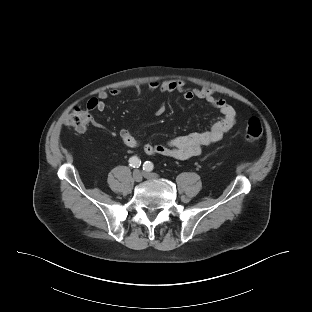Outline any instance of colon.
Listing matches in <instances>:
<instances>
[{
    "label": "colon",
    "instance_id": "obj_1",
    "mask_svg": "<svg viewBox=\"0 0 312 312\" xmlns=\"http://www.w3.org/2000/svg\"><path fill=\"white\" fill-rule=\"evenodd\" d=\"M89 123V114L82 107H74L65 120V124L77 131H83ZM262 134V123L259 118L252 117L248 120L244 137L247 141L257 140Z\"/></svg>",
    "mask_w": 312,
    "mask_h": 312
}]
</instances>
